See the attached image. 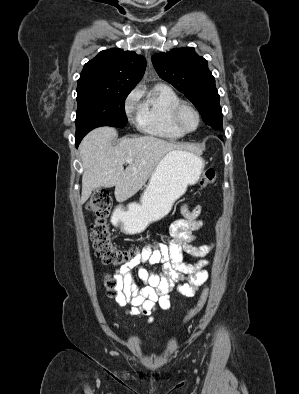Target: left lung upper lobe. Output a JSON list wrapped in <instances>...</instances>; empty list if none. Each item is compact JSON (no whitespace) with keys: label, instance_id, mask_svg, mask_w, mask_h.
<instances>
[{"label":"left lung upper lobe","instance_id":"obj_1","mask_svg":"<svg viewBox=\"0 0 299 394\" xmlns=\"http://www.w3.org/2000/svg\"><path fill=\"white\" fill-rule=\"evenodd\" d=\"M159 76L182 92L199 110L206 125L222 129L223 114L208 62L193 47L176 48L152 56Z\"/></svg>","mask_w":299,"mask_h":394}]
</instances>
